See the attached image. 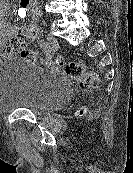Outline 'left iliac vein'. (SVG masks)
Returning <instances> with one entry per match:
<instances>
[{"label": "left iliac vein", "mask_w": 133, "mask_h": 173, "mask_svg": "<svg viewBox=\"0 0 133 173\" xmlns=\"http://www.w3.org/2000/svg\"><path fill=\"white\" fill-rule=\"evenodd\" d=\"M46 46L51 50H54L58 47V41L52 33L47 34Z\"/></svg>", "instance_id": "1"}]
</instances>
